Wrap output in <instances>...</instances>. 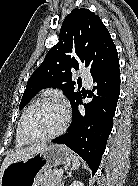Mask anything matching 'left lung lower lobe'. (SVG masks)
<instances>
[{
	"label": "left lung lower lobe",
	"instance_id": "left-lung-lower-lobe-1",
	"mask_svg": "<svg viewBox=\"0 0 138 186\" xmlns=\"http://www.w3.org/2000/svg\"><path fill=\"white\" fill-rule=\"evenodd\" d=\"M92 77L95 86L92 91H88V97L92 98V101L84 104L85 112L80 113L78 105L82 104L83 95L75 100L71 105L73 119L68 132L52 142L65 144L75 151L95 174L112 131L120 94L119 59Z\"/></svg>",
	"mask_w": 138,
	"mask_h": 186
}]
</instances>
